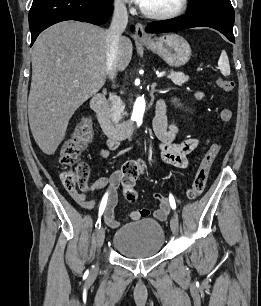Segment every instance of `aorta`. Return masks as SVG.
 Returning <instances> with one entry per match:
<instances>
[{"label": "aorta", "instance_id": "1", "mask_svg": "<svg viewBox=\"0 0 261 306\" xmlns=\"http://www.w3.org/2000/svg\"><path fill=\"white\" fill-rule=\"evenodd\" d=\"M145 107V100L142 97H138L133 106L131 119L137 123H141L145 112Z\"/></svg>", "mask_w": 261, "mask_h": 306}]
</instances>
